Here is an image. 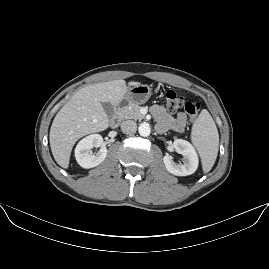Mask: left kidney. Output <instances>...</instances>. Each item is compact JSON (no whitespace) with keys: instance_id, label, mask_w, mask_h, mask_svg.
<instances>
[{"instance_id":"5707ae66","label":"left kidney","mask_w":269,"mask_h":269,"mask_svg":"<svg viewBox=\"0 0 269 269\" xmlns=\"http://www.w3.org/2000/svg\"><path fill=\"white\" fill-rule=\"evenodd\" d=\"M175 150L184 156L182 162H174L172 156L164 157V164L167 170L175 175L184 176L193 174L199 166V156L195 147L184 139H176L173 142Z\"/></svg>"}]
</instances>
